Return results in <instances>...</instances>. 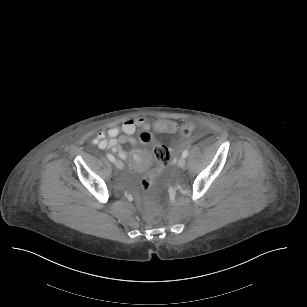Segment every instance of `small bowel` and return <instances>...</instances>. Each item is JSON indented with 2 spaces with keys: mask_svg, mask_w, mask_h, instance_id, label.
I'll use <instances>...</instances> for the list:
<instances>
[{
  "mask_svg": "<svg viewBox=\"0 0 307 307\" xmlns=\"http://www.w3.org/2000/svg\"><path fill=\"white\" fill-rule=\"evenodd\" d=\"M147 127H151V125L143 117L127 119L120 127H112L106 131L98 132L92 142L100 149H107L116 153L123 160L130 159L131 157L142 159V152L130 154L122 148V144L129 143L135 145L137 141L133 134L136 131L141 132V130Z\"/></svg>",
  "mask_w": 307,
  "mask_h": 307,
  "instance_id": "small-bowel-1",
  "label": "small bowel"
}]
</instances>
